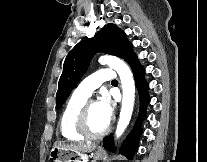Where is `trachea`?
<instances>
[{
  "instance_id": "3493384b",
  "label": "trachea",
  "mask_w": 207,
  "mask_h": 162,
  "mask_svg": "<svg viewBox=\"0 0 207 162\" xmlns=\"http://www.w3.org/2000/svg\"><path fill=\"white\" fill-rule=\"evenodd\" d=\"M112 82L117 83V80H113Z\"/></svg>"
}]
</instances>
